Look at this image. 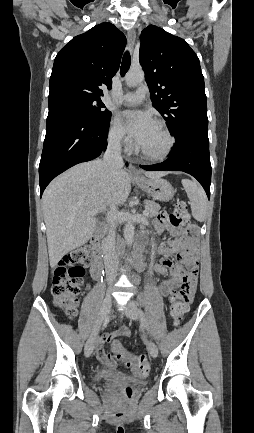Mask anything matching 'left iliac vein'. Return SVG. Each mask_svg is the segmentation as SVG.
I'll return each instance as SVG.
<instances>
[{
    "label": "left iliac vein",
    "instance_id": "4c4485c4",
    "mask_svg": "<svg viewBox=\"0 0 254 433\" xmlns=\"http://www.w3.org/2000/svg\"><path fill=\"white\" fill-rule=\"evenodd\" d=\"M127 315L132 320L138 319V308L135 301L132 299L128 302ZM147 348L152 357L156 358L158 356V348L153 341L150 340L147 342Z\"/></svg>",
    "mask_w": 254,
    "mask_h": 433
}]
</instances>
